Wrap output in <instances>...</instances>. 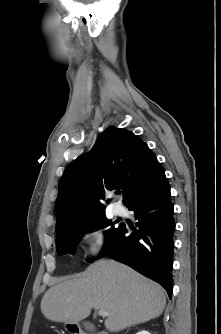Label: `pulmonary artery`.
Listing matches in <instances>:
<instances>
[{
	"label": "pulmonary artery",
	"instance_id": "pulmonary-artery-1",
	"mask_svg": "<svg viewBox=\"0 0 221 334\" xmlns=\"http://www.w3.org/2000/svg\"><path fill=\"white\" fill-rule=\"evenodd\" d=\"M112 210H113V213H114L115 215H117V216H122V215L125 214V210H124V208H123L121 205H119V204H115V205L113 206Z\"/></svg>",
	"mask_w": 221,
	"mask_h": 334
}]
</instances>
